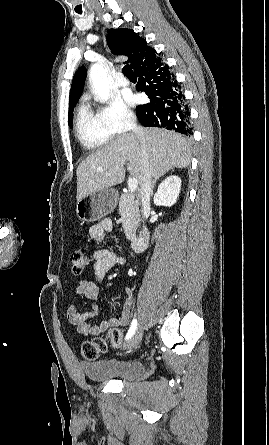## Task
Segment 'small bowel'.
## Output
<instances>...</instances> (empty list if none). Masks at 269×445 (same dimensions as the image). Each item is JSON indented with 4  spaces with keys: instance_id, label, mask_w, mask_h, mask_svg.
I'll use <instances>...</instances> for the list:
<instances>
[{
    "instance_id": "c3829d8e",
    "label": "small bowel",
    "mask_w": 269,
    "mask_h": 445,
    "mask_svg": "<svg viewBox=\"0 0 269 445\" xmlns=\"http://www.w3.org/2000/svg\"><path fill=\"white\" fill-rule=\"evenodd\" d=\"M112 230L110 220H103L90 227L89 233L95 240L101 241L106 233ZM93 267L86 279L78 280L75 285V294L78 299H85L90 302L87 309H80L77 301L71 303L67 309V318L69 322L77 328V331L83 336H97L103 332L118 330L119 327H125L130 320L131 312V289L126 288L127 299L122 305L120 317H113L101 321L99 324L91 325L90 321L98 315V308L94 301L99 297L100 284L110 269L123 261L117 254L109 249H100L94 252ZM108 332V333H109Z\"/></svg>"
}]
</instances>
